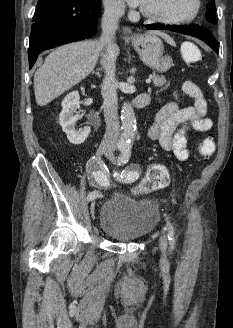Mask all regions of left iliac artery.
Returning <instances> with one entry per match:
<instances>
[{
    "label": "left iliac artery",
    "instance_id": "44dca946",
    "mask_svg": "<svg viewBox=\"0 0 233 328\" xmlns=\"http://www.w3.org/2000/svg\"><path fill=\"white\" fill-rule=\"evenodd\" d=\"M120 151L121 154L118 158V165H123L126 164L130 159V155H131L130 147L129 146L122 147L120 148ZM114 177L118 181L130 183L135 181L139 177V174L136 171H122L120 174L114 173ZM167 230H168V240L170 242L171 248H174L175 246L174 229L169 221H167Z\"/></svg>",
    "mask_w": 233,
    "mask_h": 328
}]
</instances>
